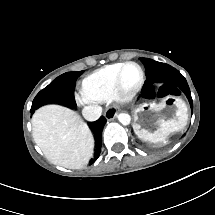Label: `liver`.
Here are the masks:
<instances>
[{
	"label": "liver",
	"instance_id": "liver-1",
	"mask_svg": "<svg viewBox=\"0 0 215 215\" xmlns=\"http://www.w3.org/2000/svg\"><path fill=\"white\" fill-rule=\"evenodd\" d=\"M31 123L33 139L51 163L69 169L88 165L94 136L76 111L60 104H45L35 110Z\"/></svg>",
	"mask_w": 215,
	"mask_h": 215
}]
</instances>
